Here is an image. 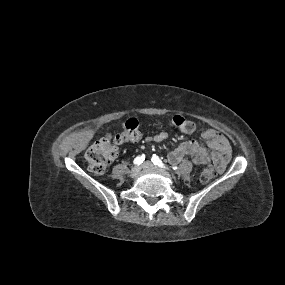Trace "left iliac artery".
<instances>
[{
    "mask_svg": "<svg viewBox=\"0 0 285 285\" xmlns=\"http://www.w3.org/2000/svg\"><path fill=\"white\" fill-rule=\"evenodd\" d=\"M151 161H152L155 165H157L158 167L165 168V169H169V168L160 160V158H159L157 155H155V154L152 155Z\"/></svg>",
    "mask_w": 285,
    "mask_h": 285,
    "instance_id": "left-iliac-artery-1",
    "label": "left iliac artery"
}]
</instances>
